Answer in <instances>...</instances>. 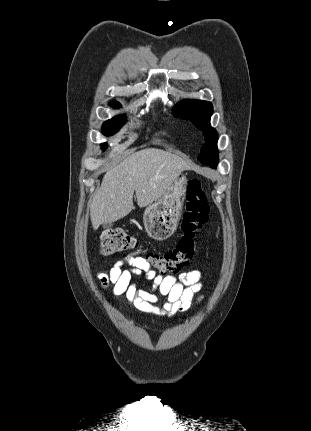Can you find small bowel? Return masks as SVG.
<instances>
[{
  "mask_svg": "<svg viewBox=\"0 0 311 431\" xmlns=\"http://www.w3.org/2000/svg\"><path fill=\"white\" fill-rule=\"evenodd\" d=\"M137 275H145L153 280L158 294L139 289L132 282L133 276ZM98 279L103 287L112 285L116 297L124 295L130 305L152 316H173L188 310L195 301L202 299V296H197L202 289L200 270L183 273L178 279L161 276L152 270L144 256L136 254L125 255L108 272L99 273Z\"/></svg>",
  "mask_w": 311,
  "mask_h": 431,
  "instance_id": "c3829d8e",
  "label": "small bowel"
}]
</instances>
